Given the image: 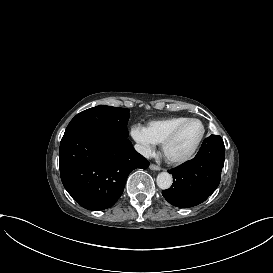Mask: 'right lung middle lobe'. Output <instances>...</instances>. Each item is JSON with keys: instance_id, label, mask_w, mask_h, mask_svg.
Wrapping results in <instances>:
<instances>
[{"instance_id": "right-lung-middle-lobe-1", "label": "right lung middle lobe", "mask_w": 273, "mask_h": 273, "mask_svg": "<svg viewBox=\"0 0 273 273\" xmlns=\"http://www.w3.org/2000/svg\"><path fill=\"white\" fill-rule=\"evenodd\" d=\"M129 109L100 105L77 114L68 124L64 134L90 130L100 134L128 137Z\"/></svg>"}]
</instances>
